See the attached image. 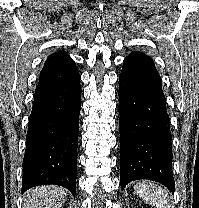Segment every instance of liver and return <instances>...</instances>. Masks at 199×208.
<instances>
[{"instance_id":"1","label":"liver","mask_w":199,"mask_h":208,"mask_svg":"<svg viewBox=\"0 0 199 208\" xmlns=\"http://www.w3.org/2000/svg\"><path fill=\"white\" fill-rule=\"evenodd\" d=\"M67 191L57 185L38 186L26 192L23 208H61Z\"/></svg>"}]
</instances>
